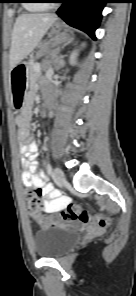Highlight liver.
Wrapping results in <instances>:
<instances>
[{
	"mask_svg": "<svg viewBox=\"0 0 136 296\" xmlns=\"http://www.w3.org/2000/svg\"><path fill=\"white\" fill-rule=\"evenodd\" d=\"M56 20V15L50 13H25L17 17L11 36V70L36 48Z\"/></svg>",
	"mask_w": 136,
	"mask_h": 296,
	"instance_id": "1",
	"label": "liver"
}]
</instances>
